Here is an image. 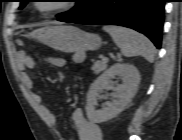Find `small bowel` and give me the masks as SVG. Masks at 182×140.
I'll return each mask as SVG.
<instances>
[{"instance_id":"obj_1","label":"small bowel","mask_w":182,"mask_h":140,"mask_svg":"<svg viewBox=\"0 0 182 140\" xmlns=\"http://www.w3.org/2000/svg\"><path fill=\"white\" fill-rule=\"evenodd\" d=\"M16 62L19 70L22 72L25 86L29 89L33 88L34 81L28 73V70L35 68V60L26 55L24 52L19 51L16 54ZM45 62L56 67H64L66 65V60L62 57H47L45 58ZM32 99L39 106L40 112L46 123L51 126L55 125L56 115L47 105L42 102L41 95L38 93H33ZM72 122L78 140H102V132L99 125L87 119L81 107L75 108L72 112Z\"/></svg>"}]
</instances>
